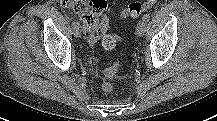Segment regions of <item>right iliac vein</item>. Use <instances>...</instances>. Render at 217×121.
Listing matches in <instances>:
<instances>
[{
  "instance_id": "right-iliac-vein-1",
  "label": "right iliac vein",
  "mask_w": 217,
  "mask_h": 121,
  "mask_svg": "<svg viewBox=\"0 0 217 121\" xmlns=\"http://www.w3.org/2000/svg\"><path fill=\"white\" fill-rule=\"evenodd\" d=\"M73 34L76 38L80 37V31H79V27L74 28Z\"/></svg>"
}]
</instances>
